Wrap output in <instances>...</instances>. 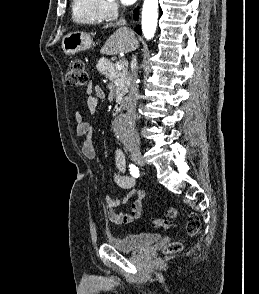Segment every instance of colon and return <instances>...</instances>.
Returning <instances> with one entry per match:
<instances>
[{
	"label": "colon",
	"mask_w": 259,
	"mask_h": 294,
	"mask_svg": "<svg viewBox=\"0 0 259 294\" xmlns=\"http://www.w3.org/2000/svg\"><path fill=\"white\" fill-rule=\"evenodd\" d=\"M87 73L85 70L84 63L79 60H72L69 64V68L65 75V82L69 87H81L87 83ZM167 215L170 218H175L177 216V209L174 207H169L167 209ZM154 225L160 229H170L173 227L171 221L165 219H157L154 221ZM186 229L189 235H195L200 229V220L197 215L191 214L188 218ZM182 245L179 242H172L168 244L164 251L166 253H174L181 250Z\"/></svg>",
	"instance_id": "colon-1"
}]
</instances>
